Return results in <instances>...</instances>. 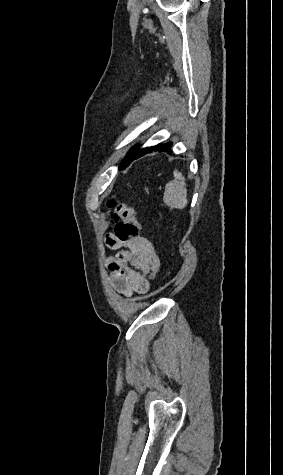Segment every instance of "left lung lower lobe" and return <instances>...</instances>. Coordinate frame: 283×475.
Segmentation results:
<instances>
[{"mask_svg": "<svg viewBox=\"0 0 283 475\" xmlns=\"http://www.w3.org/2000/svg\"><path fill=\"white\" fill-rule=\"evenodd\" d=\"M171 146H172V143L168 142V143H165V144H159V145H156V146L146 147V148H142L141 150H138L137 145H136L135 147H133L130 150L128 155L125 157V159L123 160V162L119 166V170L125 169L127 166H129V164L133 160L138 159V158L142 157L143 155H145L147 153H151L153 151L172 153Z\"/></svg>", "mask_w": 283, "mask_h": 475, "instance_id": "1", "label": "left lung lower lobe"}]
</instances>
